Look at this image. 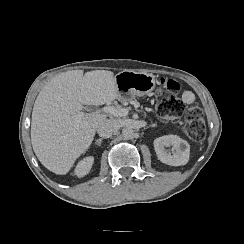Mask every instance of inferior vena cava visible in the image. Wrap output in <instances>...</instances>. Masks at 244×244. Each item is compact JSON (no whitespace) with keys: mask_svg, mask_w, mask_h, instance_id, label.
<instances>
[{"mask_svg":"<svg viewBox=\"0 0 244 244\" xmlns=\"http://www.w3.org/2000/svg\"><path fill=\"white\" fill-rule=\"evenodd\" d=\"M118 130L117 123L112 119H105L99 123L97 132L101 137H111Z\"/></svg>","mask_w":244,"mask_h":244,"instance_id":"602c4592","label":"inferior vena cava"}]
</instances>
